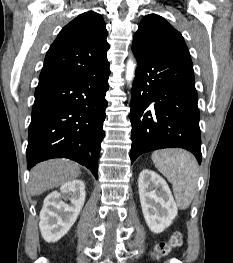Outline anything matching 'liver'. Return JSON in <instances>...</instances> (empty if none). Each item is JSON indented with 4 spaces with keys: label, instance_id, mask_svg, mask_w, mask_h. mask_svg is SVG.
Listing matches in <instances>:
<instances>
[{
    "label": "liver",
    "instance_id": "obj_1",
    "mask_svg": "<svg viewBox=\"0 0 233 263\" xmlns=\"http://www.w3.org/2000/svg\"><path fill=\"white\" fill-rule=\"evenodd\" d=\"M79 174V166L65 159L42 162L30 172L29 192L32 196H38L46 190L74 180Z\"/></svg>",
    "mask_w": 233,
    "mask_h": 263
}]
</instances>
